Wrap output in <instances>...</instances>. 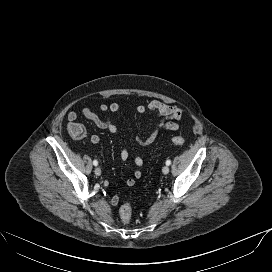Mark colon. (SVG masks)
<instances>
[{
  "label": "colon",
  "instance_id": "obj_1",
  "mask_svg": "<svg viewBox=\"0 0 272 272\" xmlns=\"http://www.w3.org/2000/svg\"><path fill=\"white\" fill-rule=\"evenodd\" d=\"M68 131L74 139H82L86 135V130L83 125L79 123H70ZM175 145H183L185 140L182 136H175L172 138ZM120 218L123 223H128L131 219L132 207L129 203H125L120 207Z\"/></svg>",
  "mask_w": 272,
  "mask_h": 272
}]
</instances>
